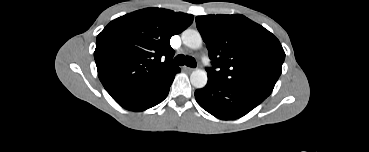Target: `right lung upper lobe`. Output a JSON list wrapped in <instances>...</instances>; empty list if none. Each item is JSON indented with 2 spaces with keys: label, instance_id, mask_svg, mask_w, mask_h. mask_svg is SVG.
I'll return each instance as SVG.
<instances>
[{
  "label": "right lung upper lobe",
  "instance_id": "1",
  "mask_svg": "<svg viewBox=\"0 0 369 152\" xmlns=\"http://www.w3.org/2000/svg\"><path fill=\"white\" fill-rule=\"evenodd\" d=\"M193 19L182 12L146 8L111 21L97 36L94 52L99 79L111 97L153 83L178 68L171 64L170 38Z\"/></svg>",
  "mask_w": 369,
  "mask_h": 152
}]
</instances>
